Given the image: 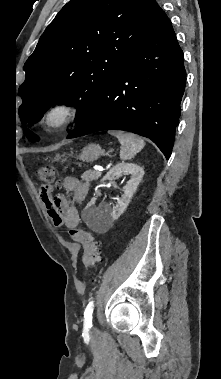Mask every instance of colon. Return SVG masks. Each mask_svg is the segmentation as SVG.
<instances>
[{
    "mask_svg": "<svg viewBox=\"0 0 221 379\" xmlns=\"http://www.w3.org/2000/svg\"><path fill=\"white\" fill-rule=\"evenodd\" d=\"M35 175L43 184L42 192L44 193L49 191L51 186L56 182L55 170L52 166L45 165L39 167ZM70 236L74 241L82 244L84 248L82 261L84 275H86L88 269L93 267L100 259V242L93 234L81 228L70 229Z\"/></svg>",
    "mask_w": 221,
    "mask_h": 379,
    "instance_id": "1",
    "label": "colon"
}]
</instances>
